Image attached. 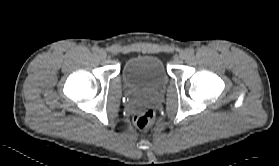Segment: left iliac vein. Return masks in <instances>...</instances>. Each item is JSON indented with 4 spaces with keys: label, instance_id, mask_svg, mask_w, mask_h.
<instances>
[{
    "label": "left iliac vein",
    "instance_id": "4c4485c4",
    "mask_svg": "<svg viewBox=\"0 0 279 166\" xmlns=\"http://www.w3.org/2000/svg\"><path fill=\"white\" fill-rule=\"evenodd\" d=\"M187 57H188V52H187V51H181V52L179 53V58H180V59L184 60V59H186Z\"/></svg>",
    "mask_w": 279,
    "mask_h": 166
}]
</instances>
